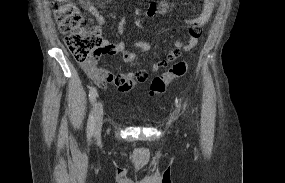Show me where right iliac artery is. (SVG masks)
<instances>
[{"label":"right iliac artery","instance_id":"right-iliac-artery-1","mask_svg":"<svg viewBox=\"0 0 285 183\" xmlns=\"http://www.w3.org/2000/svg\"><path fill=\"white\" fill-rule=\"evenodd\" d=\"M96 97H97V90L95 87H92L89 93V98H90L91 103H94V101L96 100ZM93 132H94V114H93V111H91L89 115V119H88V124H87V137L89 139L92 137Z\"/></svg>","mask_w":285,"mask_h":183}]
</instances>
